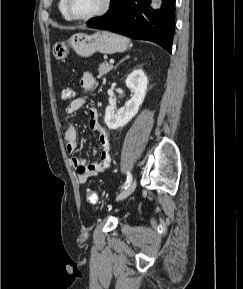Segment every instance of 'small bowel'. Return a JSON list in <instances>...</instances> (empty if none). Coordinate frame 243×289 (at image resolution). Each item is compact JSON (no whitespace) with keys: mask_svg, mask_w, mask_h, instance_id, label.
I'll return each mask as SVG.
<instances>
[{"mask_svg":"<svg viewBox=\"0 0 243 289\" xmlns=\"http://www.w3.org/2000/svg\"><path fill=\"white\" fill-rule=\"evenodd\" d=\"M80 84L89 93L95 92L98 87L97 80L89 72L83 74ZM85 102V97H78L72 100L65 109L66 113L68 115L75 114L85 104ZM88 114L90 129L99 136L100 146L96 150V153L99 152L100 158L99 161L91 164H87L85 159L80 157H73L71 159V164L77 173V180L80 184H86L90 178L96 177L104 172L111 163L109 137L107 131L99 121L98 110L95 107H90L88 109ZM64 138L67 153L74 154L78 148L77 129L74 125H70L67 128Z\"/></svg>","mask_w":243,"mask_h":289,"instance_id":"1","label":"small bowel"}]
</instances>
